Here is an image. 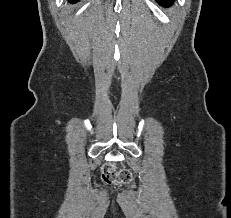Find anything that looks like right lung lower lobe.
I'll return each instance as SVG.
<instances>
[{
	"instance_id": "right-lung-lower-lobe-1",
	"label": "right lung lower lobe",
	"mask_w": 231,
	"mask_h": 218,
	"mask_svg": "<svg viewBox=\"0 0 231 218\" xmlns=\"http://www.w3.org/2000/svg\"><path fill=\"white\" fill-rule=\"evenodd\" d=\"M69 1L74 3V2H77L78 0H69Z\"/></svg>"
}]
</instances>
